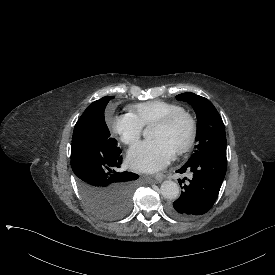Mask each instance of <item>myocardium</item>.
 Segmentation results:
<instances>
[{"label":"myocardium","instance_id":"f54148a6","mask_svg":"<svg viewBox=\"0 0 275 275\" xmlns=\"http://www.w3.org/2000/svg\"><path fill=\"white\" fill-rule=\"evenodd\" d=\"M180 120H185L187 122V135L185 140L174 149L175 153L178 155L189 151L195 142L197 135V124L194 117L186 111H180L173 113L156 123L157 126L170 130Z\"/></svg>","mask_w":275,"mask_h":275}]
</instances>
